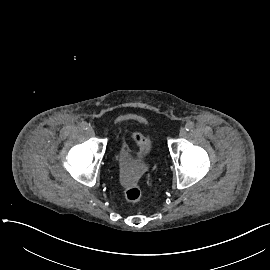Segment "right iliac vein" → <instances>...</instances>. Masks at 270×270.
Instances as JSON below:
<instances>
[{
  "mask_svg": "<svg viewBox=\"0 0 270 270\" xmlns=\"http://www.w3.org/2000/svg\"><path fill=\"white\" fill-rule=\"evenodd\" d=\"M87 133H88L89 136H94L95 135V132H94L93 128H88Z\"/></svg>",
  "mask_w": 270,
  "mask_h": 270,
  "instance_id": "1",
  "label": "right iliac vein"
}]
</instances>
